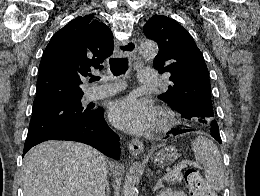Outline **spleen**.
Returning a JSON list of instances; mask_svg holds the SVG:
<instances>
[{"instance_id": "spleen-1", "label": "spleen", "mask_w": 260, "mask_h": 196, "mask_svg": "<svg viewBox=\"0 0 260 196\" xmlns=\"http://www.w3.org/2000/svg\"><path fill=\"white\" fill-rule=\"evenodd\" d=\"M191 144L196 162L205 166V178L208 184L215 192H221L224 188L225 176L221 154L216 144L205 136H197Z\"/></svg>"}]
</instances>
